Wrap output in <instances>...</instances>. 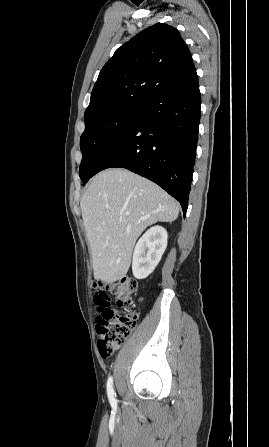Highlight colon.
I'll return each instance as SVG.
<instances>
[{
  "mask_svg": "<svg viewBox=\"0 0 269 447\" xmlns=\"http://www.w3.org/2000/svg\"><path fill=\"white\" fill-rule=\"evenodd\" d=\"M102 286L101 282H94L93 289ZM106 288L114 297L115 306L111 299L103 293L92 296L94 306L98 310L95 319V330L98 334L97 347L102 357H109L119 348L137 327L139 318L132 311L133 296L137 291V281L131 276H124L118 281L107 283Z\"/></svg>",
  "mask_w": 269,
  "mask_h": 447,
  "instance_id": "1",
  "label": "colon"
}]
</instances>
